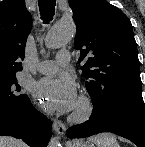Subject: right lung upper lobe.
Returning a JSON list of instances; mask_svg holds the SVG:
<instances>
[{"mask_svg":"<svg viewBox=\"0 0 145 147\" xmlns=\"http://www.w3.org/2000/svg\"><path fill=\"white\" fill-rule=\"evenodd\" d=\"M31 15L24 0L0 2V77L22 70L25 45L31 31Z\"/></svg>","mask_w":145,"mask_h":147,"instance_id":"obj_1","label":"right lung upper lobe"}]
</instances>
